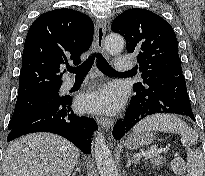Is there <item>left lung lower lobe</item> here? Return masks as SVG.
<instances>
[{
    "mask_svg": "<svg viewBox=\"0 0 205 176\" xmlns=\"http://www.w3.org/2000/svg\"><path fill=\"white\" fill-rule=\"evenodd\" d=\"M134 91L124 119L113 128L115 139H120L138 122L154 114H181L195 120L183 75L162 76Z\"/></svg>",
    "mask_w": 205,
    "mask_h": 176,
    "instance_id": "obj_1",
    "label": "left lung lower lobe"
}]
</instances>
